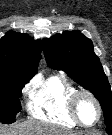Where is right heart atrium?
Wrapping results in <instances>:
<instances>
[{
  "instance_id": "obj_1",
  "label": "right heart atrium",
  "mask_w": 112,
  "mask_h": 135,
  "mask_svg": "<svg viewBox=\"0 0 112 135\" xmlns=\"http://www.w3.org/2000/svg\"><path fill=\"white\" fill-rule=\"evenodd\" d=\"M31 88H32L31 84L25 85V86L23 87V89H22V93H23V94H28V93H30Z\"/></svg>"
}]
</instances>
